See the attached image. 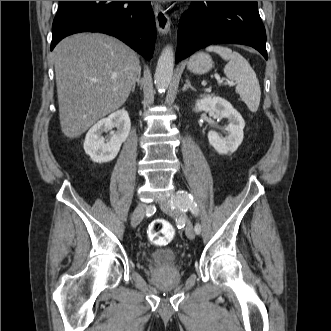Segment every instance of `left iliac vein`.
<instances>
[{
	"instance_id": "obj_1",
	"label": "left iliac vein",
	"mask_w": 331,
	"mask_h": 331,
	"mask_svg": "<svg viewBox=\"0 0 331 331\" xmlns=\"http://www.w3.org/2000/svg\"><path fill=\"white\" fill-rule=\"evenodd\" d=\"M161 208L165 211H171V207L167 201L161 202ZM185 234L191 240L195 238V230L190 221H187L186 223Z\"/></svg>"
}]
</instances>
